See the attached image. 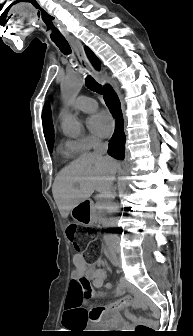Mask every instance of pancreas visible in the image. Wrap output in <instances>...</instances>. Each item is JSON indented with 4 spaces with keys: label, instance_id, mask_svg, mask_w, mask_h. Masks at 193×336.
Instances as JSON below:
<instances>
[{
    "label": "pancreas",
    "instance_id": "pancreas-1",
    "mask_svg": "<svg viewBox=\"0 0 193 336\" xmlns=\"http://www.w3.org/2000/svg\"><path fill=\"white\" fill-rule=\"evenodd\" d=\"M94 209H95V212L97 213V216L94 215L95 221L96 222L98 221V224H100L101 226H104L106 224V221L105 219H103V215H104L103 210L98 205H95Z\"/></svg>",
    "mask_w": 193,
    "mask_h": 336
}]
</instances>
